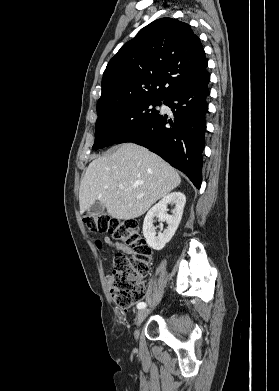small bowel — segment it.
Listing matches in <instances>:
<instances>
[{"instance_id": "small-bowel-1", "label": "small bowel", "mask_w": 279, "mask_h": 391, "mask_svg": "<svg viewBox=\"0 0 279 391\" xmlns=\"http://www.w3.org/2000/svg\"><path fill=\"white\" fill-rule=\"evenodd\" d=\"M105 242L122 254H131L133 251L132 248H130L129 246L113 241L110 237H106Z\"/></svg>"}]
</instances>
